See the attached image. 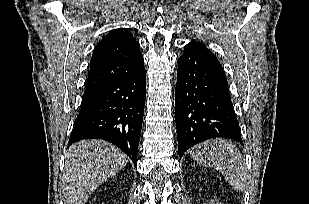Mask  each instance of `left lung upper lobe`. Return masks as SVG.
Listing matches in <instances>:
<instances>
[{
	"instance_id": "obj_1",
	"label": "left lung upper lobe",
	"mask_w": 309,
	"mask_h": 204,
	"mask_svg": "<svg viewBox=\"0 0 309 204\" xmlns=\"http://www.w3.org/2000/svg\"><path fill=\"white\" fill-rule=\"evenodd\" d=\"M187 46H189L192 49H198L201 52L205 53L209 58L219 62L214 56V54L210 50H208L204 44L199 42H191Z\"/></svg>"
}]
</instances>
